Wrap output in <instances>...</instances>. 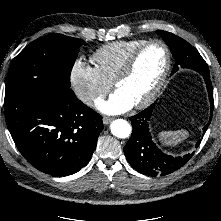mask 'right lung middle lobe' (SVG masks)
<instances>
[{
  "label": "right lung middle lobe",
  "instance_id": "obj_1",
  "mask_svg": "<svg viewBox=\"0 0 221 221\" xmlns=\"http://www.w3.org/2000/svg\"><path fill=\"white\" fill-rule=\"evenodd\" d=\"M85 42L61 34L41 37L26 46L12 61L5 95H41L56 86L70 88V73Z\"/></svg>",
  "mask_w": 221,
  "mask_h": 221
}]
</instances>
